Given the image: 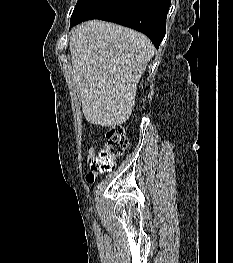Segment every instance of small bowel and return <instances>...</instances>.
<instances>
[{"label": "small bowel", "instance_id": "c3829d8e", "mask_svg": "<svg viewBox=\"0 0 233 263\" xmlns=\"http://www.w3.org/2000/svg\"><path fill=\"white\" fill-rule=\"evenodd\" d=\"M95 154H96V147L95 146H91L88 150V156L87 159L88 160H93L95 158Z\"/></svg>", "mask_w": 233, "mask_h": 263}]
</instances>
